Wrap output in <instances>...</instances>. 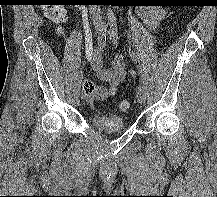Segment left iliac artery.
Returning a JSON list of instances; mask_svg holds the SVG:
<instances>
[{
	"label": "left iliac artery",
	"mask_w": 217,
	"mask_h": 197,
	"mask_svg": "<svg viewBox=\"0 0 217 197\" xmlns=\"http://www.w3.org/2000/svg\"><path fill=\"white\" fill-rule=\"evenodd\" d=\"M109 37L110 40L113 42L114 45H118L119 42V36H118V29L116 25H111L110 31H109ZM129 56L134 62H139L140 61V56L134 52H129Z\"/></svg>",
	"instance_id": "obj_1"
}]
</instances>
